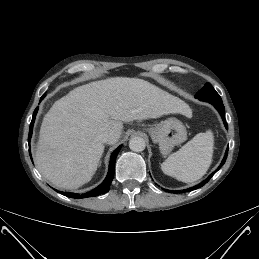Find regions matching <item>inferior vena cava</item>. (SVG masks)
I'll return each mask as SVG.
<instances>
[{
    "label": "inferior vena cava",
    "mask_w": 259,
    "mask_h": 259,
    "mask_svg": "<svg viewBox=\"0 0 259 259\" xmlns=\"http://www.w3.org/2000/svg\"><path fill=\"white\" fill-rule=\"evenodd\" d=\"M110 139V134L108 132H103L97 136V140L102 143H107Z\"/></svg>",
    "instance_id": "inferior-vena-cava-1"
}]
</instances>
